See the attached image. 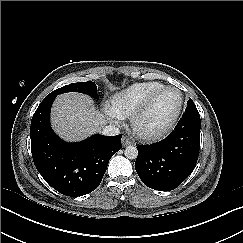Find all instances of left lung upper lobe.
Here are the masks:
<instances>
[{"mask_svg":"<svg viewBox=\"0 0 243 243\" xmlns=\"http://www.w3.org/2000/svg\"><path fill=\"white\" fill-rule=\"evenodd\" d=\"M187 104H188V106H187L186 110L187 109H197L194 102L192 101V99H189Z\"/></svg>","mask_w":243,"mask_h":243,"instance_id":"obj_1","label":"left lung upper lobe"}]
</instances>
